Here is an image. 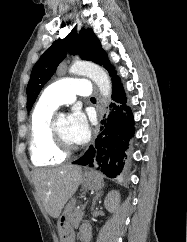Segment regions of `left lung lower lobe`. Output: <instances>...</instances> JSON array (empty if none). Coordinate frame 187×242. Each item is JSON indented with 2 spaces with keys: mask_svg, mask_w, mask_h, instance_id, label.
<instances>
[{
  "mask_svg": "<svg viewBox=\"0 0 187 242\" xmlns=\"http://www.w3.org/2000/svg\"><path fill=\"white\" fill-rule=\"evenodd\" d=\"M112 99L122 105L112 104V112L102 121L103 126L94 145L73 164L94 167L110 178L120 174L125 150L134 135V119L131 109L126 106V97L120 78L113 80Z\"/></svg>",
  "mask_w": 187,
  "mask_h": 242,
  "instance_id": "0a47b994",
  "label": "left lung lower lobe"
}]
</instances>
